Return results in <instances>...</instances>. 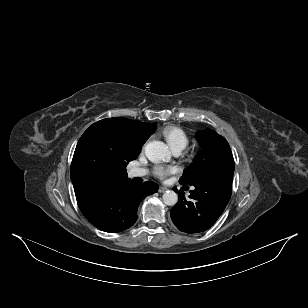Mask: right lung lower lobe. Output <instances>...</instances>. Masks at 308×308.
<instances>
[{
    "label": "right lung lower lobe",
    "mask_w": 308,
    "mask_h": 308,
    "mask_svg": "<svg viewBox=\"0 0 308 308\" xmlns=\"http://www.w3.org/2000/svg\"><path fill=\"white\" fill-rule=\"evenodd\" d=\"M154 182L135 184L130 179L78 203L85 218L105 232H119L137 220L141 200L157 192Z\"/></svg>",
    "instance_id": "right-lung-lower-lobe-1"
}]
</instances>
